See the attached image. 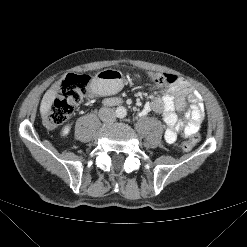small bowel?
<instances>
[{
  "instance_id": "c3829d8e",
  "label": "small bowel",
  "mask_w": 247,
  "mask_h": 247,
  "mask_svg": "<svg viewBox=\"0 0 247 247\" xmlns=\"http://www.w3.org/2000/svg\"><path fill=\"white\" fill-rule=\"evenodd\" d=\"M151 111L162 115L166 126L164 138L168 143H174L178 134L183 137L194 135L205 116L199 93L182 79L171 86L163 96L155 97L145 103L142 114L146 115Z\"/></svg>"
}]
</instances>
